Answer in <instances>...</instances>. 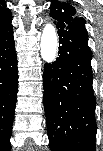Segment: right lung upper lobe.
I'll list each match as a JSON object with an SVG mask.
<instances>
[{"instance_id":"cb5924a9","label":"right lung upper lobe","mask_w":103,"mask_h":151,"mask_svg":"<svg viewBox=\"0 0 103 151\" xmlns=\"http://www.w3.org/2000/svg\"><path fill=\"white\" fill-rule=\"evenodd\" d=\"M3 8V7H2ZM3 10L7 11V16L6 17H1L0 19V30L6 28L7 26L11 25V16L10 13L8 11V9L3 8Z\"/></svg>"}]
</instances>
